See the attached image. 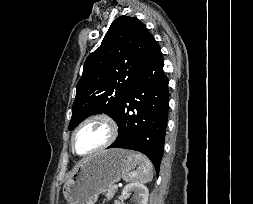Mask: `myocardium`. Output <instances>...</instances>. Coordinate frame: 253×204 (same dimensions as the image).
<instances>
[{"mask_svg": "<svg viewBox=\"0 0 253 204\" xmlns=\"http://www.w3.org/2000/svg\"><path fill=\"white\" fill-rule=\"evenodd\" d=\"M93 121H102L104 122L108 128H109V136L107 138V140L101 144L100 146L94 148L93 150L86 152V153H79L76 150V146H75V140H76V135L78 133V131L84 127L86 124L93 122ZM118 136V125L117 123L109 116L105 115V114H95L92 115L86 119H84L73 131L72 134V138H71V148L74 154H76L77 156L80 157H87V156H91L95 153H98L106 148H108L109 146H111L114 141L116 140Z\"/></svg>", "mask_w": 253, "mask_h": 204, "instance_id": "f54148a6", "label": "myocardium"}]
</instances>
